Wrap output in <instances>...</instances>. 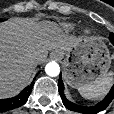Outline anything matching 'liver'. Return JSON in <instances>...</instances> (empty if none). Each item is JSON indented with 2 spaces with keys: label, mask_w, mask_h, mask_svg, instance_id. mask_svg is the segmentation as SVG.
<instances>
[{
  "label": "liver",
  "mask_w": 114,
  "mask_h": 114,
  "mask_svg": "<svg viewBox=\"0 0 114 114\" xmlns=\"http://www.w3.org/2000/svg\"><path fill=\"white\" fill-rule=\"evenodd\" d=\"M79 38L55 22L14 18L0 23V98L16 95L51 50H67Z\"/></svg>",
  "instance_id": "liver-1"
}]
</instances>
